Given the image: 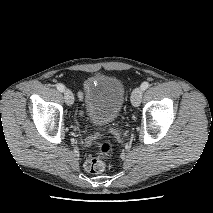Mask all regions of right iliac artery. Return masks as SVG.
<instances>
[{
	"label": "right iliac artery",
	"mask_w": 213,
	"mask_h": 213,
	"mask_svg": "<svg viewBox=\"0 0 213 213\" xmlns=\"http://www.w3.org/2000/svg\"><path fill=\"white\" fill-rule=\"evenodd\" d=\"M56 88L60 91V92H63L65 90V86L63 84H57L56 85Z\"/></svg>",
	"instance_id": "right-iliac-artery-1"
}]
</instances>
